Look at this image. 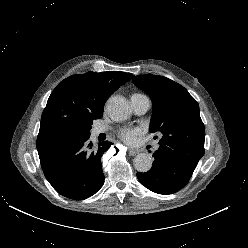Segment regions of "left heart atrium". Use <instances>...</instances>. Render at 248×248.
<instances>
[{
  "label": "left heart atrium",
  "mask_w": 248,
  "mask_h": 248,
  "mask_svg": "<svg viewBox=\"0 0 248 248\" xmlns=\"http://www.w3.org/2000/svg\"><path fill=\"white\" fill-rule=\"evenodd\" d=\"M141 133V130L139 128H134V129H124L120 132V138L129 144H132L135 142V139L137 135Z\"/></svg>",
  "instance_id": "39dd6f15"
}]
</instances>
